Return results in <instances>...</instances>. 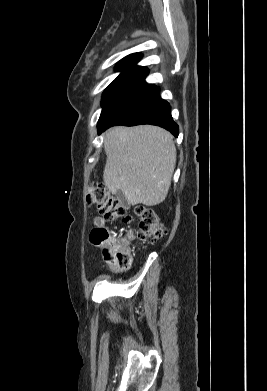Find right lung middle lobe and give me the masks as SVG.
<instances>
[{
  "mask_svg": "<svg viewBox=\"0 0 267 391\" xmlns=\"http://www.w3.org/2000/svg\"><path fill=\"white\" fill-rule=\"evenodd\" d=\"M144 78L138 76H118L106 88L102 98L103 109L98 121V127L105 123L131 97L147 86Z\"/></svg>",
  "mask_w": 267,
  "mask_h": 391,
  "instance_id": "right-lung-middle-lobe-1",
  "label": "right lung middle lobe"
}]
</instances>
